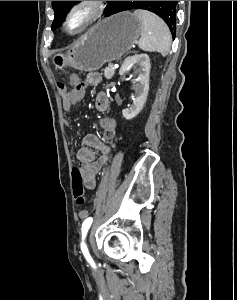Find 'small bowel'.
<instances>
[{
	"label": "small bowel",
	"mask_w": 237,
	"mask_h": 300,
	"mask_svg": "<svg viewBox=\"0 0 237 300\" xmlns=\"http://www.w3.org/2000/svg\"><path fill=\"white\" fill-rule=\"evenodd\" d=\"M101 75L97 72L88 73L83 82L75 74L71 75L70 82L75 86L79 83L87 85H97L101 82ZM63 108L65 111H71L82 97L77 96L73 90L61 91ZM95 107L99 112L106 113L109 109V99L105 93H98L95 98ZM102 130V137L95 134H87L83 137L81 145L76 152V158L79 161L78 169L84 176V184L88 190H94L96 187L97 176L102 168L107 164L111 155L109 143L114 139H121V133L118 131L117 123L113 118L102 117L99 120ZM67 127H71L69 121ZM100 152V156L97 152ZM88 215L86 209L79 211V217L85 218Z\"/></svg>",
	"instance_id": "1"
}]
</instances>
